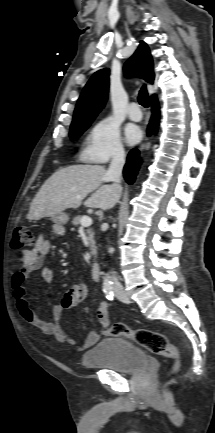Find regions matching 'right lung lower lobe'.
Segmentation results:
<instances>
[{"instance_id": "98d812e1", "label": "right lung lower lobe", "mask_w": 215, "mask_h": 433, "mask_svg": "<svg viewBox=\"0 0 215 433\" xmlns=\"http://www.w3.org/2000/svg\"><path fill=\"white\" fill-rule=\"evenodd\" d=\"M151 106L153 114L148 125V135L156 131L159 124L160 113L159 104L156 96L151 97ZM139 165V151L137 149H132L127 157V161L123 170L124 178L128 184H132L134 182Z\"/></svg>"}]
</instances>
